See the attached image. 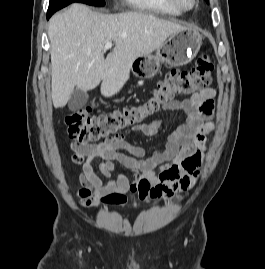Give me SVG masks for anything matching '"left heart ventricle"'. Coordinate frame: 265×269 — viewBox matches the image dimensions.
Returning <instances> with one entry per match:
<instances>
[{
    "label": "left heart ventricle",
    "mask_w": 265,
    "mask_h": 269,
    "mask_svg": "<svg viewBox=\"0 0 265 269\" xmlns=\"http://www.w3.org/2000/svg\"><path fill=\"white\" fill-rule=\"evenodd\" d=\"M184 4L189 5L191 0H181Z\"/></svg>",
    "instance_id": "1"
}]
</instances>
